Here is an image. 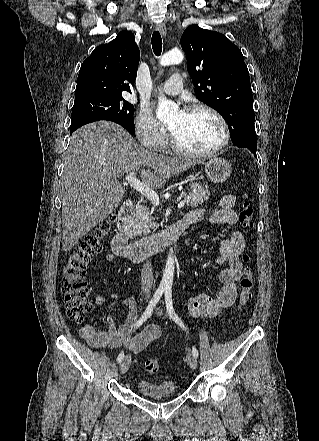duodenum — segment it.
Here are the masks:
<instances>
[{
  "mask_svg": "<svg viewBox=\"0 0 319 441\" xmlns=\"http://www.w3.org/2000/svg\"><path fill=\"white\" fill-rule=\"evenodd\" d=\"M135 205L134 199H128L121 206L117 215V231L112 239L111 247L116 256H125L132 262L138 263L176 241L182 235L186 226L180 221L162 233L151 235L132 245H128L129 221Z\"/></svg>",
  "mask_w": 319,
  "mask_h": 441,
  "instance_id": "410a0bca",
  "label": "duodenum"
}]
</instances>
